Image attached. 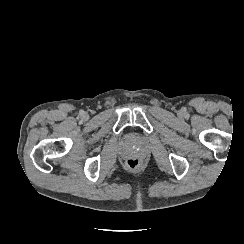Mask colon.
Wrapping results in <instances>:
<instances>
[{"label": "colon", "instance_id": "5ec220e1", "mask_svg": "<svg viewBox=\"0 0 244 244\" xmlns=\"http://www.w3.org/2000/svg\"><path fill=\"white\" fill-rule=\"evenodd\" d=\"M140 165V161L136 157H131L128 160V166L132 169L137 168Z\"/></svg>", "mask_w": 244, "mask_h": 244}]
</instances>
